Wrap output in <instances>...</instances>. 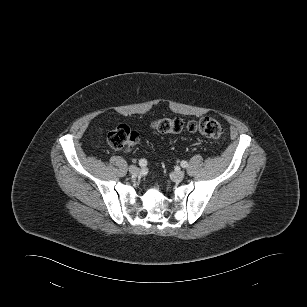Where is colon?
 I'll return each instance as SVG.
<instances>
[{"instance_id": "colon-1", "label": "colon", "mask_w": 307, "mask_h": 307, "mask_svg": "<svg viewBox=\"0 0 307 307\" xmlns=\"http://www.w3.org/2000/svg\"><path fill=\"white\" fill-rule=\"evenodd\" d=\"M153 128L162 134H179L188 131L216 141H221L224 138L222 126L217 120L210 117H203L187 123L179 118H161L153 123ZM139 139V133L124 124L117 126L107 136V142L111 148L124 151L131 150L139 142Z\"/></svg>"}]
</instances>
